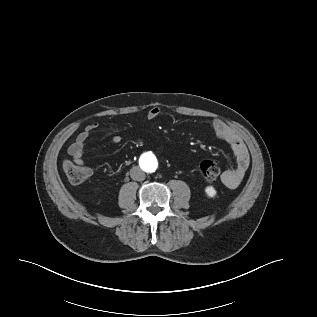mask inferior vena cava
Listing matches in <instances>:
<instances>
[{"label":"inferior vena cava","instance_id":"obj_1","mask_svg":"<svg viewBox=\"0 0 317 317\" xmlns=\"http://www.w3.org/2000/svg\"><path fill=\"white\" fill-rule=\"evenodd\" d=\"M130 176L136 181H143L146 177L145 173L140 169L139 166H135L130 170Z\"/></svg>","mask_w":317,"mask_h":317}]
</instances>
